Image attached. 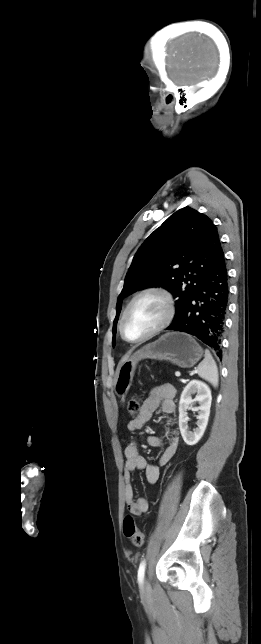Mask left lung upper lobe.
Listing matches in <instances>:
<instances>
[{
	"mask_svg": "<svg viewBox=\"0 0 261 644\" xmlns=\"http://www.w3.org/2000/svg\"><path fill=\"white\" fill-rule=\"evenodd\" d=\"M223 254L217 228L211 219L189 207L176 211L135 254L118 297L117 314L127 295L139 289L162 286L177 298L176 320Z\"/></svg>",
	"mask_w": 261,
	"mask_h": 644,
	"instance_id": "left-lung-upper-lobe-1",
	"label": "left lung upper lobe"
}]
</instances>
